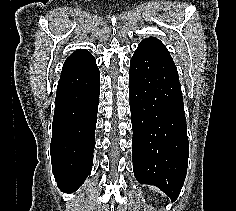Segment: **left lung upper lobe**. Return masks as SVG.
<instances>
[{"label": "left lung upper lobe", "instance_id": "1", "mask_svg": "<svg viewBox=\"0 0 236 211\" xmlns=\"http://www.w3.org/2000/svg\"><path fill=\"white\" fill-rule=\"evenodd\" d=\"M139 46L141 47H146V48H152L158 51H161L165 54H169L168 50L166 49V47L162 44V42L160 40H158L157 38L154 37H150V38H145L140 44Z\"/></svg>", "mask_w": 236, "mask_h": 211}]
</instances>
